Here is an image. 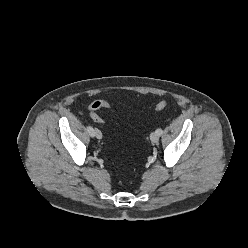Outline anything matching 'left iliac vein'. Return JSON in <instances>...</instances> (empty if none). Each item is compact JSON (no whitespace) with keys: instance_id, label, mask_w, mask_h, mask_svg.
Segmentation results:
<instances>
[{"instance_id":"obj_1","label":"left iliac vein","mask_w":248,"mask_h":248,"mask_svg":"<svg viewBox=\"0 0 248 248\" xmlns=\"http://www.w3.org/2000/svg\"><path fill=\"white\" fill-rule=\"evenodd\" d=\"M150 140L153 142V143H157L159 141V135L157 134V132H152L150 134Z\"/></svg>"}]
</instances>
